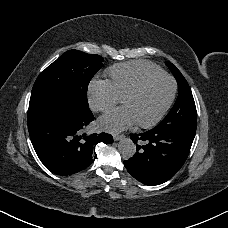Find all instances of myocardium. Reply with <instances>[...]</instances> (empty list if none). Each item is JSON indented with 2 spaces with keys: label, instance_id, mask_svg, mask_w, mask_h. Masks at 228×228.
Instances as JSON below:
<instances>
[{
  "label": "myocardium",
  "instance_id": "f54148a6",
  "mask_svg": "<svg viewBox=\"0 0 228 228\" xmlns=\"http://www.w3.org/2000/svg\"><path fill=\"white\" fill-rule=\"evenodd\" d=\"M159 79H167L170 81V83H171L170 93H169V96H168L167 100L165 101L164 105L162 106L161 110L159 111V113L151 121H149L147 123H142V122L137 123L140 127L145 128V129L152 128L155 125H157L162 120V118L166 114L167 110L169 109L170 105L172 104V101H173L174 95H175V90H176V84H175L174 79L167 74H158V75L146 78L137 88H135L132 92H130L124 99V102H125L129 99L135 98L149 84H151L152 82L159 80Z\"/></svg>",
  "mask_w": 228,
  "mask_h": 228
}]
</instances>
